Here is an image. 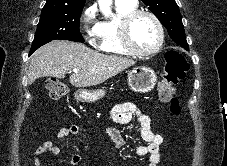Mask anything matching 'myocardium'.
<instances>
[{"label":"myocardium","mask_w":227,"mask_h":166,"mask_svg":"<svg viewBox=\"0 0 227 166\" xmlns=\"http://www.w3.org/2000/svg\"><path fill=\"white\" fill-rule=\"evenodd\" d=\"M140 16H148L149 18H151L157 28V33H158L157 42L149 50L139 49L131 41V37H130L131 26L135 22V20ZM118 35L122 46L130 54L140 56V57L152 56L158 53L164 43V29L160 20L154 13L150 11H145V10H135L129 13L128 15H126L125 17H123L119 23Z\"/></svg>","instance_id":"f54148a6"}]
</instances>
